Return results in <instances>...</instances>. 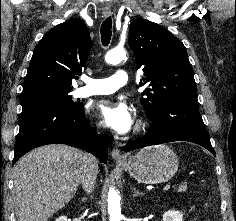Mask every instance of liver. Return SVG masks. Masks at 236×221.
<instances>
[{"mask_svg": "<svg viewBox=\"0 0 236 221\" xmlns=\"http://www.w3.org/2000/svg\"><path fill=\"white\" fill-rule=\"evenodd\" d=\"M84 153L51 144L22 157L13 169L18 221H47L75 195L81 183Z\"/></svg>", "mask_w": 236, "mask_h": 221, "instance_id": "obj_1", "label": "liver"}]
</instances>
